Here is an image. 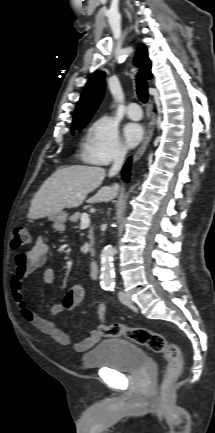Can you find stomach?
<instances>
[{
    "label": "stomach",
    "mask_w": 215,
    "mask_h": 433,
    "mask_svg": "<svg viewBox=\"0 0 215 433\" xmlns=\"http://www.w3.org/2000/svg\"><path fill=\"white\" fill-rule=\"evenodd\" d=\"M51 219L54 222L63 224L67 220V213L66 212H59L58 214H55V215L51 216Z\"/></svg>",
    "instance_id": "1"
}]
</instances>
